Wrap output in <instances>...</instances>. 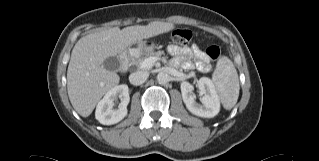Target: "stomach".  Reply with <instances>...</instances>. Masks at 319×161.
<instances>
[{
  "label": "stomach",
  "mask_w": 319,
  "mask_h": 161,
  "mask_svg": "<svg viewBox=\"0 0 319 161\" xmlns=\"http://www.w3.org/2000/svg\"><path fill=\"white\" fill-rule=\"evenodd\" d=\"M154 49V45L151 44L150 42H146V41H140L138 42V51L139 52H152Z\"/></svg>",
  "instance_id": "1"
}]
</instances>
